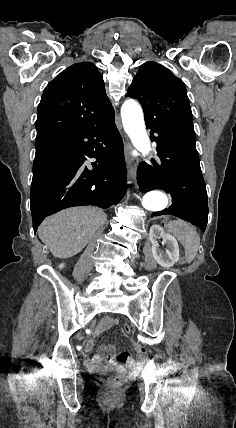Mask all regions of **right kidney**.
<instances>
[{
	"instance_id": "obj_1",
	"label": "right kidney",
	"mask_w": 236,
	"mask_h": 428,
	"mask_svg": "<svg viewBox=\"0 0 236 428\" xmlns=\"http://www.w3.org/2000/svg\"><path fill=\"white\" fill-rule=\"evenodd\" d=\"M58 268H60V270H63V268H65V264H60V266H58Z\"/></svg>"
}]
</instances>
